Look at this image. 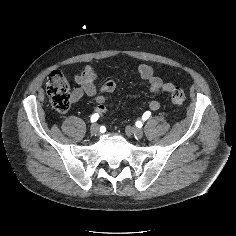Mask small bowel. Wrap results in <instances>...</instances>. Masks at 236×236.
I'll return each instance as SVG.
<instances>
[{
    "label": "small bowel",
    "instance_id": "c3829d8e",
    "mask_svg": "<svg viewBox=\"0 0 236 236\" xmlns=\"http://www.w3.org/2000/svg\"><path fill=\"white\" fill-rule=\"evenodd\" d=\"M135 73L138 77L147 83L148 90L154 95L160 93H170L174 90V85L167 82L154 74L151 66L147 64H140L136 67ZM97 70L88 65L80 74L74 77L75 83L79 86L73 91V100L77 101L84 95L93 97L97 103L96 112L97 114H103L105 112V100L106 94H110L114 91L116 83L114 80H108L100 91H98L96 83L98 81ZM148 108L152 111L159 109L160 104L156 100H151L147 104Z\"/></svg>",
    "mask_w": 236,
    "mask_h": 236
}]
</instances>
